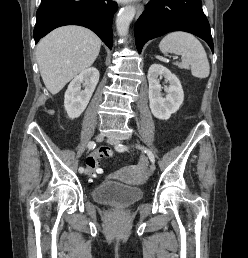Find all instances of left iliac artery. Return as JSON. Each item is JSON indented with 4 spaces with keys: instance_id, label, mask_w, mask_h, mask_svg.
Listing matches in <instances>:
<instances>
[{
    "instance_id": "44dca946",
    "label": "left iliac artery",
    "mask_w": 248,
    "mask_h": 258,
    "mask_svg": "<svg viewBox=\"0 0 248 258\" xmlns=\"http://www.w3.org/2000/svg\"><path fill=\"white\" fill-rule=\"evenodd\" d=\"M137 147H138L139 149L143 150L145 153H147V155H148V157H149V159H150V161H151L152 163L155 162L154 155H153V153H152L150 150H148V149H146L144 146H140V145L137 146ZM115 149H116L118 152H124V151L128 150V147L125 146V145L119 144V145H117V146L115 147Z\"/></svg>"
}]
</instances>
